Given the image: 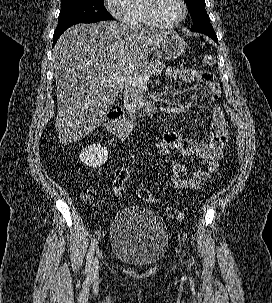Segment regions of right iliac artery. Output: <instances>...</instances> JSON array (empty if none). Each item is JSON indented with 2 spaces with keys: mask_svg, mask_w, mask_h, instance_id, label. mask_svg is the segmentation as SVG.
I'll use <instances>...</instances> for the list:
<instances>
[{
  "mask_svg": "<svg viewBox=\"0 0 272 303\" xmlns=\"http://www.w3.org/2000/svg\"><path fill=\"white\" fill-rule=\"evenodd\" d=\"M97 244H98V239L96 238L93 240V242L91 243V246L89 248V251L87 254V259H86V268H85L86 274H89L91 271V265H92L93 256H94V252L97 247Z\"/></svg>",
  "mask_w": 272,
  "mask_h": 303,
  "instance_id": "obj_1",
  "label": "right iliac artery"
}]
</instances>
